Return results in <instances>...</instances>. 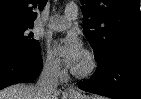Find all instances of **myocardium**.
Listing matches in <instances>:
<instances>
[{
  "label": "myocardium",
  "instance_id": "obj_1",
  "mask_svg": "<svg viewBox=\"0 0 141 99\" xmlns=\"http://www.w3.org/2000/svg\"><path fill=\"white\" fill-rule=\"evenodd\" d=\"M84 63L82 66L73 68V74L78 78H87L95 73L98 67V62L95 54L92 51H85Z\"/></svg>",
  "mask_w": 141,
  "mask_h": 99
}]
</instances>
